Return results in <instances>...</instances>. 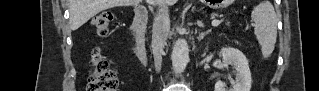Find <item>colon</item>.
<instances>
[{
    "mask_svg": "<svg viewBox=\"0 0 319 91\" xmlns=\"http://www.w3.org/2000/svg\"><path fill=\"white\" fill-rule=\"evenodd\" d=\"M113 21V13L101 12L92 18L91 24L99 36H105ZM91 65L92 71L88 77L87 90L116 91L118 80L99 48L93 49L91 53Z\"/></svg>",
    "mask_w": 319,
    "mask_h": 91,
    "instance_id": "1",
    "label": "colon"
}]
</instances>
